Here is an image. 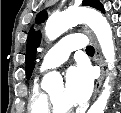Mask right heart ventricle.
<instances>
[{
	"mask_svg": "<svg viewBox=\"0 0 121 113\" xmlns=\"http://www.w3.org/2000/svg\"><path fill=\"white\" fill-rule=\"evenodd\" d=\"M28 109L30 113H52L48 105L47 94L40 88L37 81L31 90Z\"/></svg>",
	"mask_w": 121,
	"mask_h": 113,
	"instance_id": "1",
	"label": "right heart ventricle"
}]
</instances>
